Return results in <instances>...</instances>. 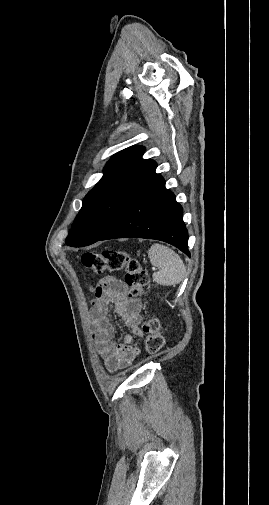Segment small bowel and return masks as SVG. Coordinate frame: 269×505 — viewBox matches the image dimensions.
<instances>
[{"label":"small bowel","instance_id":"1","mask_svg":"<svg viewBox=\"0 0 269 505\" xmlns=\"http://www.w3.org/2000/svg\"><path fill=\"white\" fill-rule=\"evenodd\" d=\"M94 304L90 309L92 337L97 351L109 372L127 368L138 355V349L131 345L132 337L126 336L122 344L114 343V327L108 318L109 305L129 327L133 335L143 336L140 327V302L126 296V286L118 278L110 276L94 288Z\"/></svg>","mask_w":269,"mask_h":505}]
</instances>
